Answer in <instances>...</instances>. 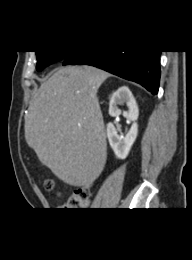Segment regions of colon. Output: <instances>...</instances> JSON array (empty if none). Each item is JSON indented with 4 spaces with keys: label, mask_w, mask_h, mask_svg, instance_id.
<instances>
[{
    "label": "colon",
    "mask_w": 192,
    "mask_h": 260,
    "mask_svg": "<svg viewBox=\"0 0 192 260\" xmlns=\"http://www.w3.org/2000/svg\"><path fill=\"white\" fill-rule=\"evenodd\" d=\"M44 186L47 190L54 188V182L51 179H47L44 182ZM90 200V190L88 187H81L76 189L69 197L66 203L63 205V210H75L84 208L87 206Z\"/></svg>",
    "instance_id": "1"
}]
</instances>
